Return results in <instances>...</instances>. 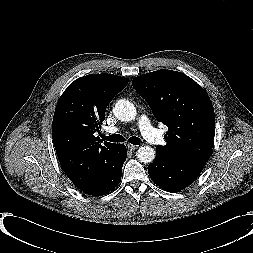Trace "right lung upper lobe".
I'll return each mask as SVG.
<instances>
[{
  "label": "right lung upper lobe",
  "mask_w": 253,
  "mask_h": 253,
  "mask_svg": "<svg viewBox=\"0 0 253 253\" xmlns=\"http://www.w3.org/2000/svg\"><path fill=\"white\" fill-rule=\"evenodd\" d=\"M128 78L90 74L72 82L58 100L52 134L62 169L82 191L96 185L115 165L119 144H101L99 132L113 97Z\"/></svg>",
  "instance_id": "cb5924a9"
}]
</instances>
